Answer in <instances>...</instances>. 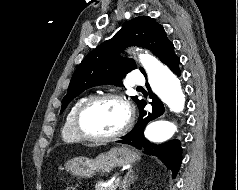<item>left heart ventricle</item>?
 Instances as JSON below:
<instances>
[{"label":"left heart ventricle","instance_id":"b2bd125f","mask_svg":"<svg viewBox=\"0 0 238 190\" xmlns=\"http://www.w3.org/2000/svg\"><path fill=\"white\" fill-rule=\"evenodd\" d=\"M124 106L112 99L92 105L82 119L83 128L95 135H110L118 131L126 122Z\"/></svg>","mask_w":238,"mask_h":190}]
</instances>
